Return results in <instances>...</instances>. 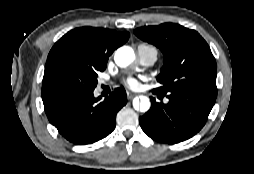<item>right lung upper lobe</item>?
<instances>
[{
	"mask_svg": "<svg viewBox=\"0 0 254 174\" xmlns=\"http://www.w3.org/2000/svg\"><path fill=\"white\" fill-rule=\"evenodd\" d=\"M129 39L128 32L80 27L60 38L49 52L46 64L61 55H69L96 68H106L109 56Z\"/></svg>",
	"mask_w": 254,
	"mask_h": 174,
	"instance_id": "cb5924a9",
	"label": "right lung upper lobe"
}]
</instances>
